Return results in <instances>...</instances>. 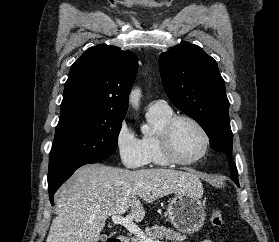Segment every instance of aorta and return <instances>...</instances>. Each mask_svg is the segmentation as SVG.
<instances>
[{
    "instance_id": "762f6f07",
    "label": "aorta",
    "mask_w": 279,
    "mask_h": 242,
    "mask_svg": "<svg viewBox=\"0 0 279 242\" xmlns=\"http://www.w3.org/2000/svg\"><path fill=\"white\" fill-rule=\"evenodd\" d=\"M140 99V90L135 89L130 94V103L133 105V107L137 108L139 104ZM150 128L148 125H142L141 126V132L143 134H147L149 132Z\"/></svg>"
}]
</instances>
